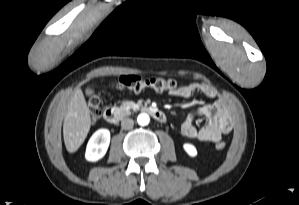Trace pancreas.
Listing matches in <instances>:
<instances>
[{"label":"pancreas","instance_id":"1","mask_svg":"<svg viewBox=\"0 0 299 205\" xmlns=\"http://www.w3.org/2000/svg\"><path fill=\"white\" fill-rule=\"evenodd\" d=\"M141 106H142L141 103H135L133 101L126 100L122 103L121 109L129 112L130 110H134V111L138 110L140 109Z\"/></svg>","mask_w":299,"mask_h":205}]
</instances>
